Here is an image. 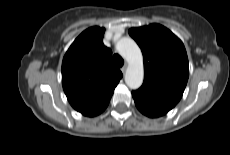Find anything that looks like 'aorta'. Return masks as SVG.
Masks as SVG:
<instances>
[{"mask_svg":"<svg viewBox=\"0 0 230 155\" xmlns=\"http://www.w3.org/2000/svg\"><path fill=\"white\" fill-rule=\"evenodd\" d=\"M118 53L128 62L125 82L130 89H138L144 78L143 57L140 48L129 37H123L116 43Z\"/></svg>","mask_w":230,"mask_h":155,"instance_id":"aorta-1","label":"aorta"}]
</instances>
